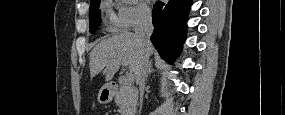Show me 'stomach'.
Wrapping results in <instances>:
<instances>
[{"instance_id": "1", "label": "stomach", "mask_w": 285, "mask_h": 115, "mask_svg": "<svg viewBox=\"0 0 285 115\" xmlns=\"http://www.w3.org/2000/svg\"><path fill=\"white\" fill-rule=\"evenodd\" d=\"M115 95V89L112 85L106 84L104 85L98 93V102L101 104H108L112 101Z\"/></svg>"}]
</instances>
